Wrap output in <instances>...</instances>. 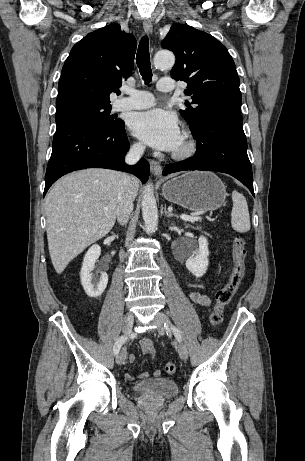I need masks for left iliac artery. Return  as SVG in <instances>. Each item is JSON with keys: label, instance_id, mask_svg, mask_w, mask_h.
<instances>
[{"label": "left iliac artery", "instance_id": "obj_1", "mask_svg": "<svg viewBox=\"0 0 305 461\" xmlns=\"http://www.w3.org/2000/svg\"><path fill=\"white\" fill-rule=\"evenodd\" d=\"M164 326H167V324H164ZM171 329H172L176 339L180 342L182 340L180 331L175 326H171Z\"/></svg>", "mask_w": 305, "mask_h": 461}]
</instances>
